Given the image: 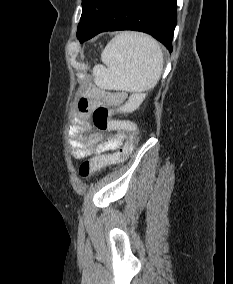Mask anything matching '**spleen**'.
Instances as JSON below:
<instances>
[{
  "label": "spleen",
  "instance_id": "spleen-1",
  "mask_svg": "<svg viewBox=\"0 0 233 284\" xmlns=\"http://www.w3.org/2000/svg\"><path fill=\"white\" fill-rule=\"evenodd\" d=\"M103 65L93 68L94 82L100 88L145 92L153 89L163 71V52L149 35L122 32L115 36L101 54Z\"/></svg>",
  "mask_w": 233,
  "mask_h": 284
}]
</instances>
